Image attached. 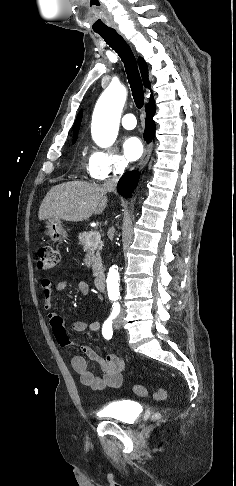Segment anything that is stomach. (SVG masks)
I'll return each mask as SVG.
<instances>
[{
  "label": "stomach",
  "instance_id": "stomach-1",
  "mask_svg": "<svg viewBox=\"0 0 236 486\" xmlns=\"http://www.w3.org/2000/svg\"><path fill=\"white\" fill-rule=\"evenodd\" d=\"M47 234L53 241H60L67 237L66 230L62 227L60 219L49 218L45 220Z\"/></svg>",
  "mask_w": 236,
  "mask_h": 486
}]
</instances>
